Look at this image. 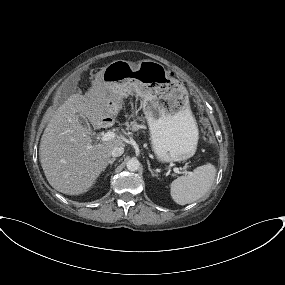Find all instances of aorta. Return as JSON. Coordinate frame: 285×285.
Returning <instances> with one entry per match:
<instances>
[{
  "instance_id": "762f6f07",
  "label": "aorta",
  "mask_w": 285,
  "mask_h": 285,
  "mask_svg": "<svg viewBox=\"0 0 285 285\" xmlns=\"http://www.w3.org/2000/svg\"><path fill=\"white\" fill-rule=\"evenodd\" d=\"M126 167L131 172L137 171L140 168V162H139V160H137L135 158H131L126 163Z\"/></svg>"
}]
</instances>
